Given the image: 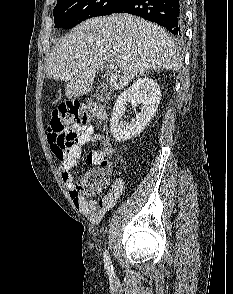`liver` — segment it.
<instances>
[{
  "label": "liver",
  "instance_id": "liver-1",
  "mask_svg": "<svg viewBox=\"0 0 233 294\" xmlns=\"http://www.w3.org/2000/svg\"><path fill=\"white\" fill-rule=\"evenodd\" d=\"M104 77L113 89H123L147 70L177 71L182 57L164 28L132 15L86 20L67 33L46 60L48 78L64 81L67 99L88 94L105 64Z\"/></svg>",
  "mask_w": 233,
  "mask_h": 294
}]
</instances>
